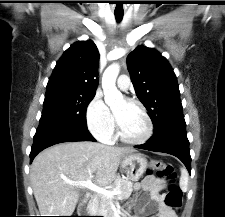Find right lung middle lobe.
I'll list each match as a JSON object with an SVG mask.
<instances>
[{"instance_id":"dd1d6c3e","label":"right lung middle lobe","mask_w":225,"mask_h":217,"mask_svg":"<svg viewBox=\"0 0 225 217\" xmlns=\"http://www.w3.org/2000/svg\"><path fill=\"white\" fill-rule=\"evenodd\" d=\"M94 96V94L80 95L68 92L46 93L40 121L87 127L86 109Z\"/></svg>"}]
</instances>
